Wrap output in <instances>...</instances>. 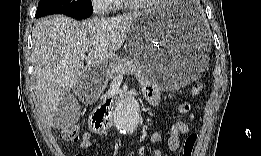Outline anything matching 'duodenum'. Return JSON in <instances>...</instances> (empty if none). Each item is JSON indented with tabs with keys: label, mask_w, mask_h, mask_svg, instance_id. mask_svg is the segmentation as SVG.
<instances>
[{
	"label": "duodenum",
	"mask_w": 261,
	"mask_h": 156,
	"mask_svg": "<svg viewBox=\"0 0 261 156\" xmlns=\"http://www.w3.org/2000/svg\"><path fill=\"white\" fill-rule=\"evenodd\" d=\"M105 101H106V103H109L110 105H111V102H113V100L110 97L105 98Z\"/></svg>",
	"instance_id": "410a0bca"
}]
</instances>
